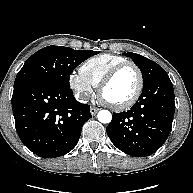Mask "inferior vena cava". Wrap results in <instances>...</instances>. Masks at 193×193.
Masks as SVG:
<instances>
[{
	"instance_id": "602c4592",
	"label": "inferior vena cava",
	"mask_w": 193,
	"mask_h": 193,
	"mask_svg": "<svg viewBox=\"0 0 193 193\" xmlns=\"http://www.w3.org/2000/svg\"><path fill=\"white\" fill-rule=\"evenodd\" d=\"M76 99L81 102V103H87L89 98H90V95L86 92H81V93H77L75 95Z\"/></svg>"
}]
</instances>
